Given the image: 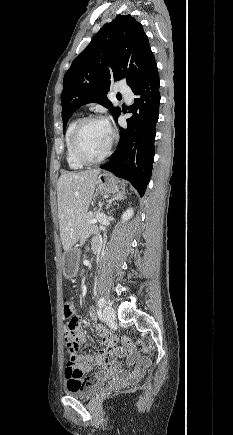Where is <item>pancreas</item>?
<instances>
[{
  "mask_svg": "<svg viewBox=\"0 0 233 435\" xmlns=\"http://www.w3.org/2000/svg\"><path fill=\"white\" fill-rule=\"evenodd\" d=\"M96 215V212L86 214L81 231V239L85 240L91 234L98 232V226L95 224H89V220L93 219Z\"/></svg>",
  "mask_w": 233,
  "mask_h": 435,
  "instance_id": "obj_1",
  "label": "pancreas"
}]
</instances>
